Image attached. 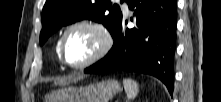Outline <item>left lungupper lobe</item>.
Listing matches in <instances>:
<instances>
[{
  "mask_svg": "<svg viewBox=\"0 0 221 102\" xmlns=\"http://www.w3.org/2000/svg\"><path fill=\"white\" fill-rule=\"evenodd\" d=\"M81 19L101 22L114 36L122 13L120 7L112 6L109 0H47L42 11L40 44L43 45L63 25Z\"/></svg>",
  "mask_w": 221,
  "mask_h": 102,
  "instance_id": "1",
  "label": "left lung upper lobe"
}]
</instances>
